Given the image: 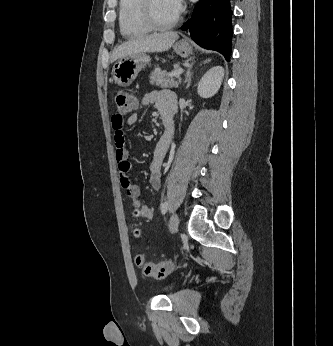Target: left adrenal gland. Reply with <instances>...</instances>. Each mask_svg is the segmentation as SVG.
Listing matches in <instances>:
<instances>
[{
	"mask_svg": "<svg viewBox=\"0 0 333 346\" xmlns=\"http://www.w3.org/2000/svg\"><path fill=\"white\" fill-rule=\"evenodd\" d=\"M210 61H211V59H207V60L204 62V64L209 63ZM193 64H194V62H192L191 65L188 67L187 72H186V75H185V77H186V82H187L186 89L189 88L190 83H191V77H192V74H193V72L191 71V69H192Z\"/></svg>",
	"mask_w": 333,
	"mask_h": 346,
	"instance_id": "obj_1",
	"label": "left adrenal gland"
}]
</instances>
